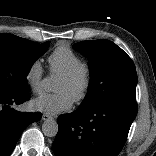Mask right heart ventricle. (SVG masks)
I'll return each instance as SVG.
<instances>
[{"mask_svg":"<svg viewBox=\"0 0 156 156\" xmlns=\"http://www.w3.org/2000/svg\"><path fill=\"white\" fill-rule=\"evenodd\" d=\"M50 72L61 75L82 63L81 58L68 46L60 45L48 57Z\"/></svg>","mask_w":156,"mask_h":156,"instance_id":"right-heart-ventricle-1","label":"right heart ventricle"}]
</instances>
